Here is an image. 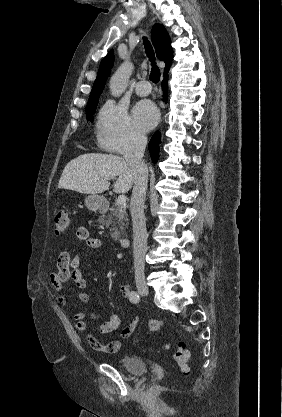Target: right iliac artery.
Instances as JSON below:
<instances>
[{"label":"right iliac artery","mask_w":282,"mask_h":417,"mask_svg":"<svg viewBox=\"0 0 282 417\" xmlns=\"http://www.w3.org/2000/svg\"><path fill=\"white\" fill-rule=\"evenodd\" d=\"M130 302L136 304L140 301V296L136 291H132L129 297Z\"/></svg>","instance_id":"right-iliac-artery-1"}]
</instances>
